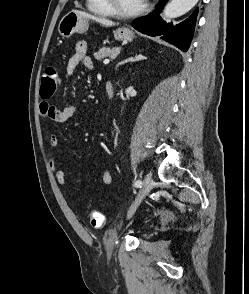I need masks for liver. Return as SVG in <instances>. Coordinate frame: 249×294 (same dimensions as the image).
Instances as JSON below:
<instances>
[{
	"label": "liver",
	"instance_id": "1",
	"mask_svg": "<svg viewBox=\"0 0 249 294\" xmlns=\"http://www.w3.org/2000/svg\"><path fill=\"white\" fill-rule=\"evenodd\" d=\"M79 15L87 18V19H92L106 27H111V26H114L115 23L113 21H110L108 19H105V18H100V17H96V16H93V15H90L88 13H85V12H82V11H76Z\"/></svg>",
	"mask_w": 249,
	"mask_h": 294
}]
</instances>
